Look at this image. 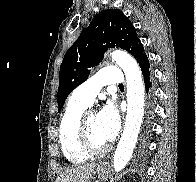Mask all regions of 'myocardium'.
<instances>
[{"label":"myocardium","instance_id":"myocardium-1","mask_svg":"<svg viewBox=\"0 0 196 182\" xmlns=\"http://www.w3.org/2000/svg\"><path fill=\"white\" fill-rule=\"evenodd\" d=\"M95 113L93 110L84 111L76 126V142L81 151H83L87 155H100L107 152L110 149V144H107L102 147H94L88 139L87 132V118L90 114Z\"/></svg>","mask_w":196,"mask_h":182}]
</instances>
